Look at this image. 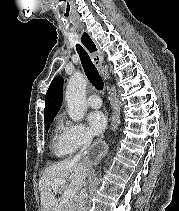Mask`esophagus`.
Instances as JSON below:
<instances>
[{
	"mask_svg": "<svg viewBox=\"0 0 179 211\" xmlns=\"http://www.w3.org/2000/svg\"><path fill=\"white\" fill-rule=\"evenodd\" d=\"M81 41L88 49V53H92L94 63L98 67H101L102 56L95 50L96 46L90 36L88 34H84ZM114 105H116V108H119L117 102H114ZM115 116H119V113H115ZM118 120H121V117H118ZM104 149H107V144H93V147H88V151H84L86 163H97V156H101V152H104Z\"/></svg>",
	"mask_w": 179,
	"mask_h": 211,
	"instance_id": "34e87169",
	"label": "esophagus"
}]
</instances>
